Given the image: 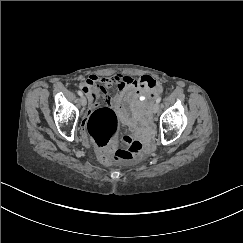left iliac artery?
I'll return each mask as SVG.
<instances>
[{"instance_id": "44dca946", "label": "left iliac artery", "mask_w": 243, "mask_h": 243, "mask_svg": "<svg viewBox=\"0 0 243 243\" xmlns=\"http://www.w3.org/2000/svg\"><path fill=\"white\" fill-rule=\"evenodd\" d=\"M160 101H161V97H158L156 103H160Z\"/></svg>"}]
</instances>
